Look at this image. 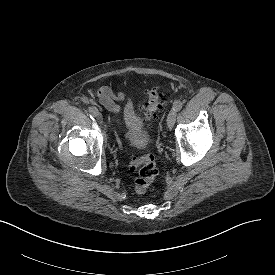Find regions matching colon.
Here are the masks:
<instances>
[{"mask_svg":"<svg viewBox=\"0 0 275 275\" xmlns=\"http://www.w3.org/2000/svg\"><path fill=\"white\" fill-rule=\"evenodd\" d=\"M163 106V96L158 87H153L145 94L142 108V117L146 122L157 118ZM139 167L138 176L134 182V190L138 194L145 193L154 181L158 170L155 157L152 154L142 157L133 156L129 161V168L134 170Z\"/></svg>","mask_w":275,"mask_h":275,"instance_id":"colon-1","label":"colon"}]
</instances>
